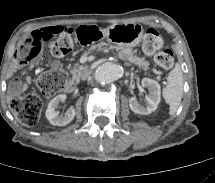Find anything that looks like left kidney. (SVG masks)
<instances>
[{"mask_svg": "<svg viewBox=\"0 0 215 183\" xmlns=\"http://www.w3.org/2000/svg\"><path fill=\"white\" fill-rule=\"evenodd\" d=\"M141 84L143 87H147L149 90V95L146 96V107L140 105L136 97H131L129 99V106L130 109L135 113L148 115L157 109L158 104L161 100L160 85L157 81L149 78H143Z\"/></svg>", "mask_w": 215, "mask_h": 183, "instance_id": "1", "label": "left kidney"}]
</instances>
